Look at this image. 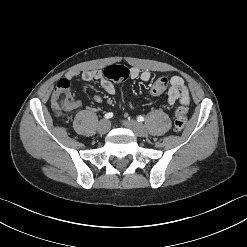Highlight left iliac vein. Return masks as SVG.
<instances>
[{"instance_id":"obj_1","label":"left iliac vein","mask_w":247,"mask_h":247,"mask_svg":"<svg viewBox=\"0 0 247 247\" xmlns=\"http://www.w3.org/2000/svg\"><path fill=\"white\" fill-rule=\"evenodd\" d=\"M123 125L131 129L137 136L144 137L147 134L146 128L136 120H124Z\"/></svg>"}]
</instances>
